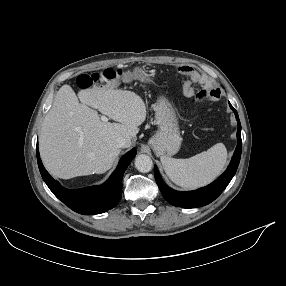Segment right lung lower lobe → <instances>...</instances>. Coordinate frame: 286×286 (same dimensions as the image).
I'll return each mask as SVG.
<instances>
[{
	"mask_svg": "<svg viewBox=\"0 0 286 286\" xmlns=\"http://www.w3.org/2000/svg\"><path fill=\"white\" fill-rule=\"evenodd\" d=\"M36 153L41 176L53 194L73 211L90 215L106 212L119 203L122 196V178L136 154V149L122 157L117 169L104 184L78 190L65 189L55 181L44 168L38 148Z\"/></svg>",
	"mask_w": 286,
	"mask_h": 286,
	"instance_id": "98d812e1",
	"label": "right lung lower lobe"
}]
</instances>
